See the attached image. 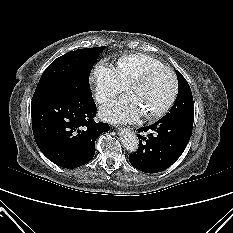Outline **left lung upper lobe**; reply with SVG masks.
I'll use <instances>...</instances> for the list:
<instances>
[{"label": "left lung upper lobe", "mask_w": 233, "mask_h": 233, "mask_svg": "<svg viewBox=\"0 0 233 233\" xmlns=\"http://www.w3.org/2000/svg\"><path fill=\"white\" fill-rule=\"evenodd\" d=\"M178 79V95L170 111L164 116L193 126L194 102L189 84L179 71H176Z\"/></svg>", "instance_id": "1"}]
</instances>
